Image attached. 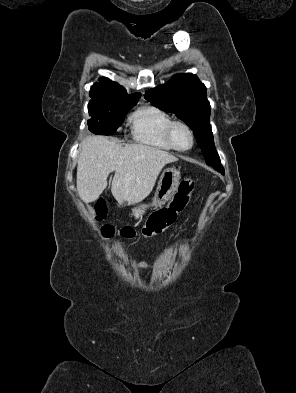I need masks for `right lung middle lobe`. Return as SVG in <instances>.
I'll return each instance as SVG.
<instances>
[{
	"mask_svg": "<svg viewBox=\"0 0 296 393\" xmlns=\"http://www.w3.org/2000/svg\"><path fill=\"white\" fill-rule=\"evenodd\" d=\"M136 103L137 101L127 100L89 102L88 111L91 116L88 120L89 130L98 135L113 134Z\"/></svg>",
	"mask_w": 296,
	"mask_h": 393,
	"instance_id": "dd1d6c3e",
	"label": "right lung middle lobe"
}]
</instances>
